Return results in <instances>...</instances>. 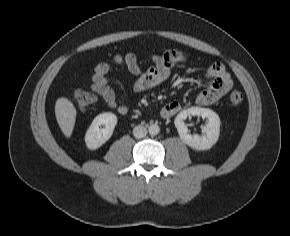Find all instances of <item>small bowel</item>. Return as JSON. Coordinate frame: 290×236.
Segmentation results:
<instances>
[{"label":"small bowel","mask_w":290,"mask_h":236,"mask_svg":"<svg viewBox=\"0 0 290 236\" xmlns=\"http://www.w3.org/2000/svg\"><path fill=\"white\" fill-rule=\"evenodd\" d=\"M186 60V55L180 51L169 50L163 54H152L150 56L151 66L143 70L139 60L134 53L115 54L112 58L114 66L125 67L131 74L137 77L133 89L136 93H143L150 90L166 79H168L176 64ZM112 66L107 62L99 63L91 78V90L99 95L103 101L118 113L126 115L129 112V106L126 103L118 102L116 95L108 83V75ZM208 78L207 85L199 92L194 102L197 106L211 105L217 102L232 87L233 81L231 75L222 63L215 62L206 70ZM181 110V104L172 101L164 105L160 110V117L164 120L171 119Z\"/></svg>","instance_id":"obj_1"}]
</instances>
